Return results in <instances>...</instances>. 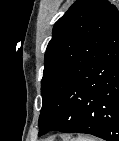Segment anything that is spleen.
<instances>
[{
	"label": "spleen",
	"instance_id": "spleen-1",
	"mask_svg": "<svg viewBox=\"0 0 119 141\" xmlns=\"http://www.w3.org/2000/svg\"><path fill=\"white\" fill-rule=\"evenodd\" d=\"M75 141H95L88 137H78Z\"/></svg>",
	"mask_w": 119,
	"mask_h": 141
}]
</instances>
